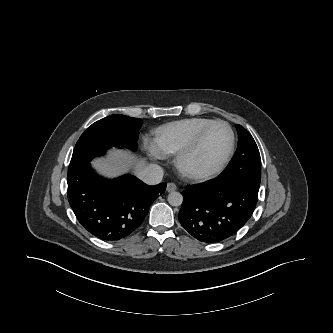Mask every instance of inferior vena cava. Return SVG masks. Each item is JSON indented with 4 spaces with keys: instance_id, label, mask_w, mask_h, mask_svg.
Returning a JSON list of instances; mask_svg holds the SVG:
<instances>
[{
    "instance_id": "inferior-vena-cava-1",
    "label": "inferior vena cava",
    "mask_w": 333,
    "mask_h": 333,
    "mask_svg": "<svg viewBox=\"0 0 333 333\" xmlns=\"http://www.w3.org/2000/svg\"><path fill=\"white\" fill-rule=\"evenodd\" d=\"M137 177L143 182L149 185H156L162 181L163 169L156 165L150 164L144 167H140L136 171Z\"/></svg>"
}]
</instances>
